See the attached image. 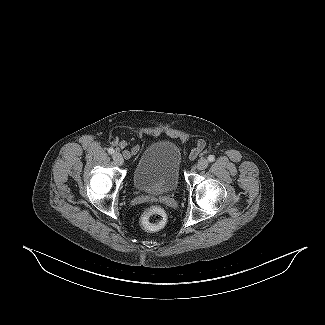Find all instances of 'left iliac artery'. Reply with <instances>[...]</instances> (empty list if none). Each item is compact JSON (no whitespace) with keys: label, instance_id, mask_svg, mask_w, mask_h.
Masks as SVG:
<instances>
[{"label":"left iliac artery","instance_id":"obj_1","mask_svg":"<svg viewBox=\"0 0 325 325\" xmlns=\"http://www.w3.org/2000/svg\"><path fill=\"white\" fill-rule=\"evenodd\" d=\"M214 160H215L214 155H209V156H208V161H209V162H213Z\"/></svg>","mask_w":325,"mask_h":325}]
</instances>
